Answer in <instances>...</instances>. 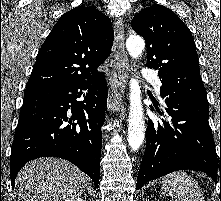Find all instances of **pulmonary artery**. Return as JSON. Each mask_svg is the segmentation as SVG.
<instances>
[{"mask_svg":"<svg viewBox=\"0 0 221 201\" xmlns=\"http://www.w3.org/2000/svg\"><path fill=\"white\" fill-rule=\"evenodd\" d=\"M142 77L144 79H146L149 82H152L155 85L156 90L159 92L160 91V87L162 85L158 75L150 70V69H143L142 70Z\"/></svg>","mask_w":221,"mask_h":201,"instance_id":"pulmonary-artery-1","label":"pulmonary artery"}]
</instances>
